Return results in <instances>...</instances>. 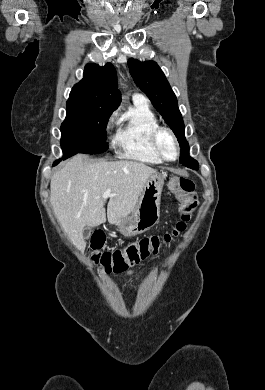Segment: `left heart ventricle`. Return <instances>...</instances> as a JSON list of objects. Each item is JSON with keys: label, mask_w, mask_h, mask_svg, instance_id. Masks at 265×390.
Returning <instances> with one entry per match:
<instances>
[{"label": "left heart ventricle", "mask_w": 265, "mask_h": 390, "mask_svg": "<svg viewBox=\"0 0 265 390\" xmlns=\"http://www.w3.org/2000/svg\"><path fill=\"white\" fill-rule=\"evenodd\" d=\"M160 146L167 157L173 158L175 156V146L169 135L163 134L161 136Z\"/></svg>", "instance_id": "b2bd125f"}]
</instances>
